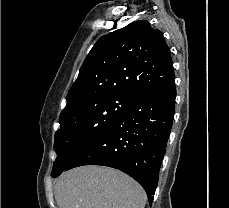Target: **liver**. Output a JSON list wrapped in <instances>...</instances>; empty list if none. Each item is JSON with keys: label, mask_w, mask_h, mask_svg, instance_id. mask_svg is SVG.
I'll use <instances>...</instances> for the list:
<instances>
[{"label": "liver", "mask_w": 229, "mask_h": 208, "mask_svg": "<svg viewBox=\"0 0 229 208\" xmlns=\"http://www.w3.org/2000/svg\"><path fill=\"white\" fill-rule=\"evenodd\" d=\"M54 194L59 208H144L147 200L135 180L103 166L64 172L56 180Z\"/></svg>", "instance_id": "liver-1"}]
</instances>
